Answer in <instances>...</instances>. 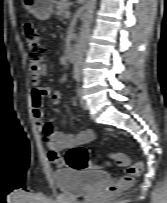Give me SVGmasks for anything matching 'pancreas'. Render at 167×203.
<instances>
[{
  "mask_svg": "<svg viewBox=\"0 0 167 203\" xmlns=\"http://www.w3.org/2000/svg\"><path fill=\"white\" fill-rule=\"evenodd\" d=\"M69 7H70L69 0H60V2L56 4L57 8L56 15L65 17Z\"/></svg>",
  "mask_w": 167,
  "mask_h": 203,
  "instance_id": "pancreas-1",
  "label": "pancreas"
}]
</instances>
